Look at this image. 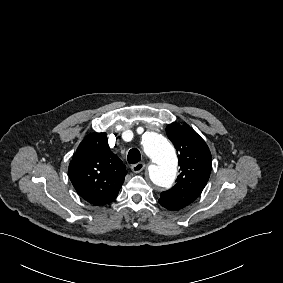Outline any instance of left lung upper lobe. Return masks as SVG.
I'll return each instance as SVG.
<instances>
[{"instance_id": "1", "label": "left lung upper lobe", "mask_w": 283, "mask_h": 283, "mask_svg": "<svg viewBox=\"0 0 283 283\" xmlns=\"http://www.w3.org/2000/svg\"><path fill=\"white\" fill-rule=\"evenodd\" d=\"M166 133L179 152L181 173L177 183L161 193L159 203L176 211L199 197L208 182L212 159L207 144L189 125L169 124Z\"/></svg>"}]
</instances>
